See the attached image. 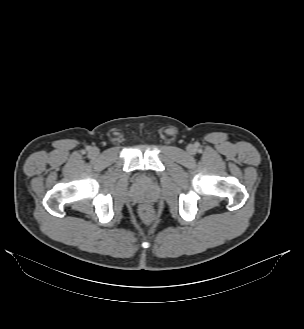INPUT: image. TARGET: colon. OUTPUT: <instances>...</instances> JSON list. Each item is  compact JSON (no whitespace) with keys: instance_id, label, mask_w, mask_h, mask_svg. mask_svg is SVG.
Wrapping results in <instances>:
<instances>
[{"instance_id":"5ec220e1","label":"colon","mask_w":304,"mask_h":329,"mask_svg":"<svg viewBox=\"0 0 304 329\" xmlns=\"http://www.w3.org/2000/svg\"><path fill=\"white\" fill-rule=\"evenodd\" d=\"M140 217L144 223H151L154 219V211L148 205H142L139 210Z\"/></svg>"}]
</instances>
